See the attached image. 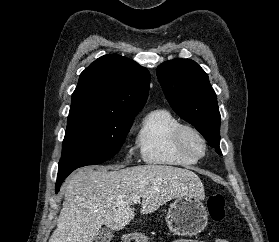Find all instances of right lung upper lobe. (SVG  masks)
I'll use <instances>...</instances> for the list:
<instances>
[{"label":"right lung upper lobe","instance_id":"obj_1","mask_svg":"<svg viewBox=\"0 0 279 242\" xmlns=\"http://www.w3.org/2000/svg\"><path fill=\"white\" fill-rule=\"evenodd\" d=\"M149 71L118 54L95 60L79 77L69 115L93 119L134 118L149 91Z\"/></svg>","mask_w":279,"mask_h":242}]
</instances>
